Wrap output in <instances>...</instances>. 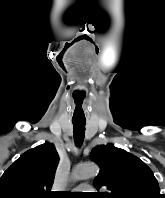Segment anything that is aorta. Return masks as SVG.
<instances>
[{
  "instance_id": "obj_1",
  "label": "aorta",
  "mask_w": 165,
  "mask_h": 198,
  "mask_svg": "<svg viewBox=\"0 0 165 198\" xmlns=\"http://www.w3.org/2000/svg\"><path fill=\"white\" fill-rule=\"evenodd\" d=\"M98 173V166L93 163L79 164L74 167L71 172L70 179L79 181L91 178Z\"/></svg>"
}]
</instances>
